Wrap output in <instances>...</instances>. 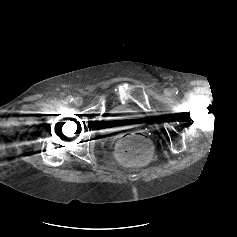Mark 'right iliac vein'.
Instances as JSON below:
<instances>
[{
  "mask_svg": "<svg viewBox=\"0 0 237 237\" xmlns=\"http://www.w3.org/2000/svg\"><path fill=\"white\" fill-rule=\"evenodd\" d=\"M74 104H75L76 106H81V105L83 104V99H82L81 97H76V98L74 99Z\"/></svg>",
  "mask_w": 237,
  "mask_h": 237,
  "instance_id": "63e3f726",
  "label": "right iliac vein"
}]
</instances>
